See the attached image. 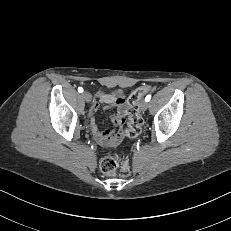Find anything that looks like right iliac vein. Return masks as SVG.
I'll return each mask as SVG.
<instances>
[{"instance_id": "obj_1", "label": "right iliac vein", "mask_w": 231, "mask_h": 231, "mask_svg": "<svg viewBox=\"0 0 231 231\" xmlns=\"http://www.w3.org/2000/svg\"><path fill=\"white\" fill-rule=\"evenodd\" d=\"M82 97H83V99H84L86 102H90L91 99H92L91 94H90L89 92H87V91H84V92L82 93Z\"/></svg>"}]
</instances>
